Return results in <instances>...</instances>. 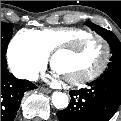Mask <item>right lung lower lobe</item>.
<instances>
[{"label": "right lung lower lobe", "instance_id": "obj_1", "mask_svg": "<svg viewBox=\"0 0 121 121\" xmlns=\"http://www.w3.org/2000/svg\"><path fill=\"white\" fill-rule=\"evenodd\" d=\"M35 88L33 83L15 78L7 69L5 55H1V121H13L24 92Z\"/></svg>", "mask_w": 121, "mask_h": 121}]
</instances>
